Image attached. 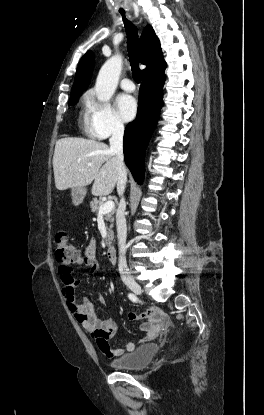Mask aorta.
<instances>
[{"label":"aorta","mask_w":264,"mask_h":415,"mask_svg":"<svg viewBox=\"0 0 264 415\" xmlns=\"http://www.w3.org/2000/svg\"><path fill=\"white\" fill-rule=\"evenodd\" d=\"M122 70V56L116 54L101 67L95 84L98 100L108 101L114 94Z\"/></svg>","instance_id":"aorta-1"}]
</instances>
